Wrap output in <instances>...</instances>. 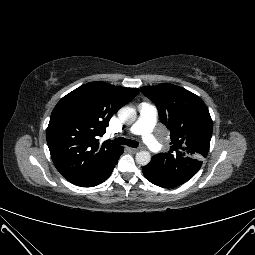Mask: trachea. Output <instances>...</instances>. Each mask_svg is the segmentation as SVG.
Returning a JSON list of instances; mask_svg holds the SVG:
<instances>
[{"label": "trachea", "mask_w": 255, "mask_h": 255, "mask_svg": "<svg viewBox=\"0 0 255 255\" xmlns=\"http://www.w3.org/2000/svg\"><path fill=\"white\" fill-rule=\"evenodd\" d=\"M113 143L120 144V145H127L133 148L138 147V142L130 139H125L123 137H119L113 140Z\"/></svg>", "instance_id": "trachea-1"}]
</instances>
